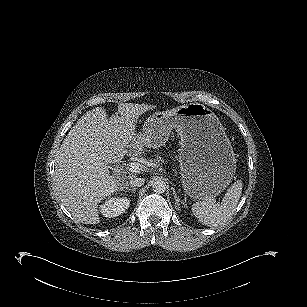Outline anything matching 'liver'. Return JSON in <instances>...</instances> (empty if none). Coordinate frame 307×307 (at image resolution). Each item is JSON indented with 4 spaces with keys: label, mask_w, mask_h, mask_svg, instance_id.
Returning <instances> with one entry per match:
<instances>
[{
    "label": "liver",
    "mask_w": 307,
    "mask_h": 307,
    "mask_svg": "<svg viewBox=\"0 0 307 307\" xmlns=\"http://www.w3.org/2000/svg\"><path fill=\"white\" fill-rule=\"evenodd\" d=\"M145 104L122 103L118 115L107 118L106 110L88 111L64 139L55 157L54 187L74 219L98 224V203L116 192L126 176L110 175L109 165L120 162L127 147L139 152L146 145L135 134V119L152 109ZM131 177V176H129Z\"/></svg>",
    "instance_id": "6515ba94"
}]
</instances>
